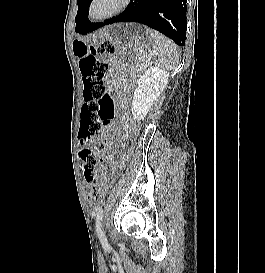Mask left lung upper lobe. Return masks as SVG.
<instances>
[{
	"mask_svg": "<svg viewBox=\"0 0 265 273\" xmlns=\"http://www.w3.org/2000/svg\"><path fill=\"white\" fill-rule=\"evenodd\" d=\"M92 0H77V4H78V12H77V16L75 17V22H76V32H78L82 25L84 24V22H86L88 19V10H89V6L91 4Z\"/></svg>",
	"mask_w": 265,
	"mask_h": 273,
	"instance_id": "1",
	"label": "left lung upper lobe"
}]
</instances>
